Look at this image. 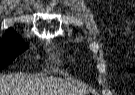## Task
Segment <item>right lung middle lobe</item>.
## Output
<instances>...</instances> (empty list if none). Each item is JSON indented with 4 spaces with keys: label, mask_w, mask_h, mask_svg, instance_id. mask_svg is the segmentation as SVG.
Here are the masks:
<instances>
[{
    "label": "right lung middle lobe",
    "mask_w": 135,
    "mask_h": 95,
    "mask_svg": "<svg viewBox=\"0 0 135 95\" xmlns=\"http://www.w3.org/2000/svg\"><path fill=\"white\" fill-rule=\"evenodd\" d=\"M27 49V44L17 34L4 36L0 44V70L12 63Z\"/></svg>",
    "instance_id": "dd1d6c3e"
}]
</instances>
